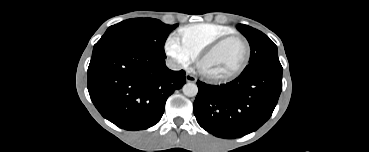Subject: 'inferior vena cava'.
<instances>
[{
    "mask_svg": "<svg viewBox=\"0 0 369 152\" xmlns=\"http://www.w3.org/2000/svg\"><path fill=\"white\" fill-rule=\"evenodd\" d=\"M166 66L169 69L174 70V71H179V70L182 69V65L174 59H167L166 60Z\"/></svg>",
    "mask_w": 369,
    "mask_h": 152,
    "instance_id": "1",
    "label": "inferior vena cava"
}]
</instances>
